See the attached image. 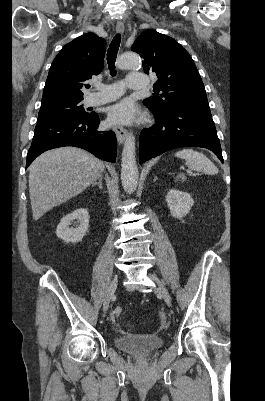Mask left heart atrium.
I'll use <instances>...</instances> for the list:
<instances>
[{
	"mask_svg": "<svg viewBox=\"0 0 265 401\" xmlns=\"http://www.w3.org/2000/svg\"><path fill=\"white\" fill-rule=\"evenodd\" d=\"M137 106L131 99H124L108 109V120L113 124L131 123L138 119Z\"/></svg>",
	"mask_w": 265,
	"mask_h": 401,
	"instance_id": "1",
	"label": "left heart atrium"
}]
</instances>
